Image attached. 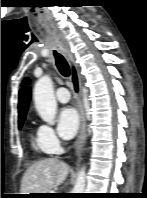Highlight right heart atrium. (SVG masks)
Returning a JSON list of instances; mask_svg holds the SVG:
<instances>
[{
    "label": "right heart atrium",
    "instance_id": "right-heart-atrium-1",
    "mask_svg": "<svg viewBox=\"0 0 147 198\" xmlns=\"http://www.w3.org/2000/svg\"><path fill=\"white\" fill-rule=\"evenodd\" d=\"M38 137L46 153L53 154L58 151L61 142L51 126L47 124L40 125L38 128Z\"/></svg>",
    "mask_w": 147,
    "mask_h": 198
}]
</instances>
